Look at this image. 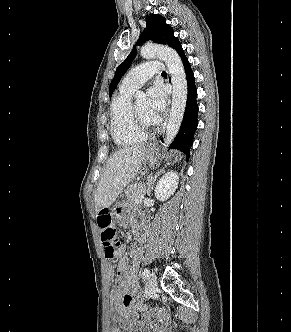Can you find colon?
Segmentation results:
<instances>
[{
	"mask_svg": "<svg viewBox=\"0 0 291 332\" xmlns=\"http://www.w3.org/2000/svg\"><path fill=\"white\" fill-rule=\"evenodd\" d=\"M98 226L101 233V241L104 247L106 258H114L116 247L118 245L116 230L114 228V216L108 210H103L98 216ZM120 331L119 327L114 324L110 332Z\"/></svg>",
	"mask_w": 291,
	"mask_h": 332,
	"instance_id": "1",
	"label": "colon"
}]
</instances>
